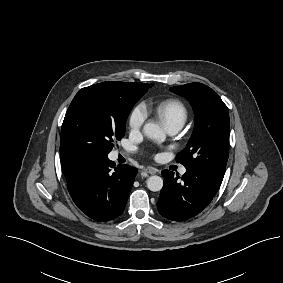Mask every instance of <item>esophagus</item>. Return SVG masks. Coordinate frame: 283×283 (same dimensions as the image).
Masks as SVG:
<instances>
[{
	"label": "esophagus",
	"mask_w": 283,
	"mask_h": 283,
	"mask_svg": "<svg viewBox=\"0 0 283 283\" xmlns=\"http://www.w3.org/2000/svg\"><path fill=\"white\" fill-rule=\"evenodd\" d=\"M144 171L148 174L154 175L157 173V169L153 168V167H147L144 169Z\"/></svg>",
	"instance_id": "obj_1"
}]
</instances>
